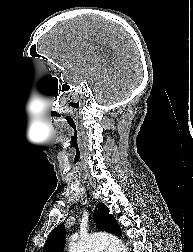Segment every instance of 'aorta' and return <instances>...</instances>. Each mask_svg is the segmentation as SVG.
Here are the masks:
<instances>
[{"instance_id": "1", "label": "aorta", "mask_w": 193, "mask_h": 252, "mask_svg": "<svg viewBox=\"0 0 193 252\" xmlns=\"http://www.w3.org/2000/svg\"><path fill=\"white\" fill-rule=\"evenodd\" d=\"M127 252L124 243L117 237L108 234H94L80 239L78 242H70L68 252Z\"/></svg>"}]
</instances>
